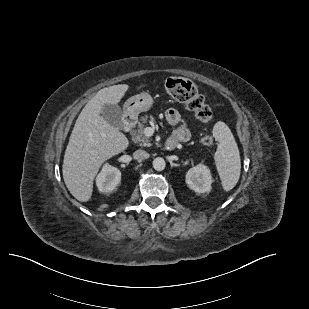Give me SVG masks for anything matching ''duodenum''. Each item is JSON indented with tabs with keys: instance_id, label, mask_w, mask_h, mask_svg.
Returning a JSON list of instances; mask_svg holds the SVG:
<instances>
[{
	"instance_id": "obj_1",
	"label": "duodenum",
	"mask_w": 309,
	"mask_h": 309,
	"mask_svg": "<svg viewBox=\"0 0 309 309\" xmlns=\"http://www.w3.org/2000/svg\"><path fill=\"white\" fill-rule=\"evenodd\" d=\"M136 123V118L133 114H126L123 118V129L125 132H129L135 125ZM178 143L177 140L173 138H169L166 140L164 143V147L167 150H172L175 148L176 144Z\"/></svg>"
}]
</instances>
